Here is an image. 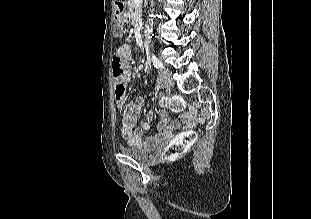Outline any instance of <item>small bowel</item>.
I'll use <instances>...</instances> for the list:
<instances>
[{
  "label": "small bowel",
  "instance_id": "1",
  "mask_svg": "<svg viewBox=\"0 0 311 219\" xmlns=\"http://www.w3.org/2000/svg\"><path fill=\"white\" fill-rule=\"evenodd\" d=\"M117 55L123 59H129L130 49L127 45H122L117 49ZM132 79V73L130 70L126 71L124 75L125 83H130ZM144 106V100L142 98H136L126 104L124 107L123 117L120 125V134L129 144H141L143 143V132L151 129L152 123L155 119V114L149 111L145 115V120L142 122L140 129H137L139 116ZM159 128L162 131L160 135H155L150 138L151 141L157 140L159 137H169L173 131L179 128L177 123H170L168 115L160 113Z\"/></svg>",
  "mask_w": 311,
  "mask_h": 219
}]
</instances>
